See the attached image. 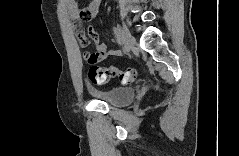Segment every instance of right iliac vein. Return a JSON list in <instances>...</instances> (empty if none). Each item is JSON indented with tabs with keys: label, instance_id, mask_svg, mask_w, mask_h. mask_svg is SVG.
Segmentation results:
<instances>
[{
	"label": "right iliac vein",
	"instance_id": "63e3f726",
	"mask_svg": "<svg viewBox=\"0 0 239 156\" xmlns=\"http://www.w3.org/2000/svg\"><path fill=\"white\" fill-rule=\"evenodd\" d=\"M124 40H125V52L129 53L131 48L134 45V38L132 37V35L130 34L128 28L126 27V25L123 23L122 25V31H121Z\"/></svg>",
	"mask_w": 239,
	"mask_h": 156
}]
</instances>
